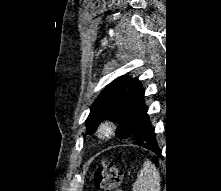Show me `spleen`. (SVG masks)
<instances>
[{
	"label": "spleen",
	"mask_w": 221,
	"mask_h": 191,
	"mask_svg": "<svg viewBox=\"0 0 221 191\" xmlns=\"http://www.w3.org/2000/svg\"><path fill=\"white\" fill-rule=\"evenodd\" d=\"M160 174L155 165L147 160L133 184V191H160Z\"/></svg>",
	"instance_id": "3e777b00"
}]
</instances>
